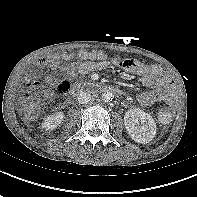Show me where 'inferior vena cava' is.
<instances>
[{
    "label": "inferior vena cava",
    "mask_w": 197,
    "mask_h": 197,
    "mask_svg": "<svg viewBox=\"0 0 197 197\" xmlns=\"http://www.w3.org/2000/svg\"><path fill=\"white\" fill-rule=\"evenodd\" d=\"M90 100H91V95L89 93L81 92L78 96V102L80 104H86L90 102Z\"/></svg>",
    "instance_id": "obj_1"
}]
</instances>
